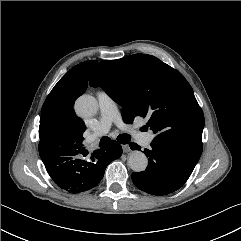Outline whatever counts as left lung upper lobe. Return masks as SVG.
<instances>
[{"label":"left lung upper lobe","mask_w":241,"mask_h":241,"mask_svg":"<svg viewBox=\"0 0 241 241\" xmlns=\"http://www.w3.org/2000/svg\"><path fill=\"white\" fill-rule=\"evenodd\" d=\"M90 85L100 86L122 106L125 122L147 117L145 127L153 141L167 143L201 155L204 115L184 76L158 58L135 54L103 60Z\"/></svg>","instance_id":"1"}]
</instances>
